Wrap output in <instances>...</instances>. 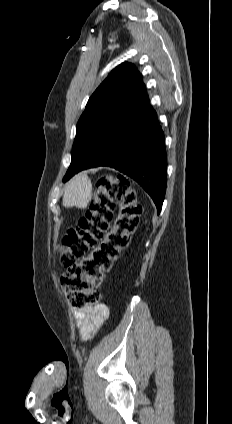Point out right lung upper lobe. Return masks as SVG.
<instances>
[{"instance_id":"obj_1","label":"right lung upper lobe","mask_w":232,"mask_h":424,"mask_svg":"<svg viewBox=\"0 0 232 424\" xmlns=\"http://www.w3.org/2000/svg\"><path fill=\"white\" fill-rule=\"evenodd\" d=\"M148 100L142 75L131 63L116 67L89 98L85 110L120 105L134 108Z\"/></svg>"}]
</instances>
